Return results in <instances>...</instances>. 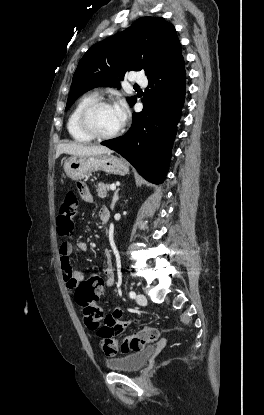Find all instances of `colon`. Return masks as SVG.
<instances>
[{"label":"colon","instance_id":"colon-1","mask_svg":"<svg viewBox=\"0 0 264 415\" xmlns=\"http://www.w3.org/2000/svg\"><path fill=\"white\" fill-rule=\"evenodd\" d=\"M78 210V200L74 193L69 192L58 212L57 230L61 237L70 238L75 232L74 218ZM101 283L97 277H90L82 282L75 293V301L81 309L86 327L97 332L100 346L106 355H116L119 352H136L147 344L158 339L156 328L144 326L137 332L119 340L114 338L104 324V313L98 305Z\"/></svg>","mask_w":264,"mask_h":415}]
</instances>
